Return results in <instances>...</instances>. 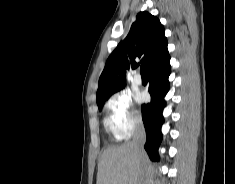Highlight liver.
<instances>
[{
	"instance_id": "liver-1",
	"label": "liver",
	"mask_w": 235,
	"mask_h": 184,
	"mask_svg": "<svg viewBox=\"0 0 235 184\" xmlns=\"http://www.w3.org/2000/svg\"><path fill=\"white\" fill-rule=\"evenodd\" d=\"M145 152L135 154L131 142L104 150L98 164L97 184H135Z\"/></svg>"
}]
</instances>
